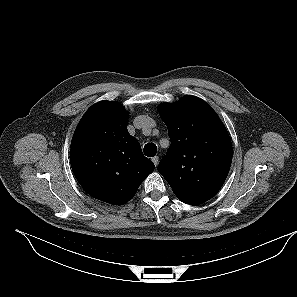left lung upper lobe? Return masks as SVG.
<instances>
[{
  "label": "left lung upper lobe",
  "mask_w": 297,
  "mask_h": 297,
  "mask_svg": "<svg viewBox=\"0 0 297 297\" xmlns=\"http://www.w3.org/2000/svg\"><path fill=\"white\" fill-rule=\"evenodd\" d=\"M158 110L171 140L158 171L182 202L202 204L216 195L229 173V134L216 112L198 97L163 103Z\"/></svg>",
  "instance_id": "left-lung-upper-lobe-1"
}]
</instances>
